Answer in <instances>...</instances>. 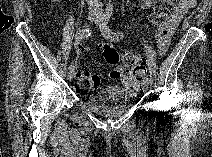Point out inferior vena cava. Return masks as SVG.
Here are the masks:
<instances>
[{
  "mask_svg": "<svg viewBox=\"0 0 212 157\" xmlns=\"http://www.w3.org/2000/svg\"><path fill=\"white\" fill-rule=\"evenodd\" d=\"M89 9L91 11L101 10L102 9V3L100 0H88Z\"/></svg>",
  "mask_w": 212,
  "mask_h": 157,
  "instance_id": "1",
  "label": "inferior vena cava"
}]
</instances>
